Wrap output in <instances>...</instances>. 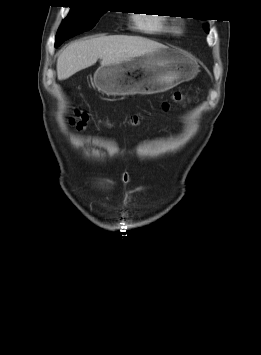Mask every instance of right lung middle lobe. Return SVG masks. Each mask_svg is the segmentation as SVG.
<instances>
[{"mask_svg":"<svg viewBox=\"0 0 261 355\" xmlns=\"http://www.w3.org/2000/svg\"><path fill=\"white\" fill-rule=\"evenodd\" d=\"M105 13L101 9H90L81 6L71 7L68 16L63 20L56 40H67L77 34L92 29Z\"/></svg>","mask_w":261,"mask_h":355,"instance_id":"dd1d6c3e","label":"right lung middle lobe"}]
</instances>
